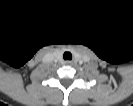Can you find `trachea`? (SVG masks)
<instances>
[{"instance_id":"1","label":"trachea","mask_w":133,"mask_h":106,"mask_svg":"<svg viewBox=\"0 0 133 106\" xmlns=\"http://www.w3.org/2000/svg\"><path fill=\"white\" fill-rule=\"evenodd\" d=\"M63 58H64L65 60H71V59H72V54H71L70 52H65V53L63 54Z\"/></svg>"}]
</instances>
